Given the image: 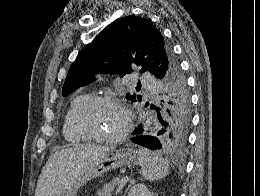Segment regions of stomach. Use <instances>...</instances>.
Segmentation results:
<instances>
[{"instance_id": "stomach-1", "label": "stomach", "mask_w": 260, "mask_h": 196, "mask_svg": "<svg viewBox=\"0 0 260 196\" xmlns=\"http://www.w3.org/2000/svg\"><path fill=\"white\" fill-rule=\"evenodd\" d=\"M137 156L138 152L134 148H119V150H116V146H110V150H107L104 156H100V158L95 160L92 168H88L85 174L77 178L75 184L71 186V190L56 193V196H77L78 190L85 186L89 180L99 178L102 174L115 170V168L133 166V164H136V160H138ZM45 196H54V193H45Z\"/></svg>"}]
</instances>
